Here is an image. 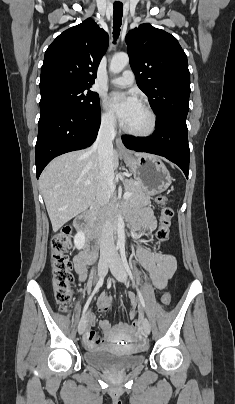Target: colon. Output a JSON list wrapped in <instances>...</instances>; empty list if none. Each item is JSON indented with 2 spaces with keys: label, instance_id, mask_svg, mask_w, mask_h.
I'll use <instances>...</instances> for the list:
<instances>
[{
  "label": "colon",
  "instance_id": "5ec220e1",
  "mask_svg": "<svg viewBox=\"0 0 235 404\" xmlns=\"http://www.w3.org/2000/svg\"><path fill=\"white\" fill-rule=\"evenodd\" d=\"M156 203L161 208L160 224L156 236L159 241L165 242L169 237L174 211L169 205L167 196H158ZM72 245L73 236L70 227H64L60 233L51 239L50 243L54 297L62 311H66L73 300V274L68 257V251ZM170 301L171 293L166 291L161 299L162 305L168 306ZM133 326L138 327V321H134Z\"/></svg>",
  "mask_w": 235,
  "mask_h": 404
}]
</instances>
